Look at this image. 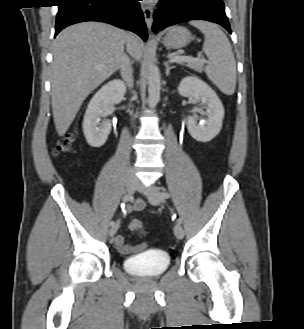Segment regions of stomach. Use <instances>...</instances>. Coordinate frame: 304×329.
<instances>
[{
    "instance_id": "1",
    "label": "stomach",
    "mask_w": 304,
    "mask_h": 329,
    "mask_svg": "<svg viewBox=\"0 0 304 329\" xmlns=\"http://www.w3.org/2000/svg\"><path fill=\"white\" fill-rule=\"evenodd\" d=\"M192 40V34L182 26H175L168 30L163 38V45L168 49H180Z\"/></svg>"
}]
</instances>
